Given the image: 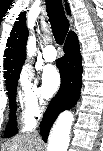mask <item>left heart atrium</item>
I'll list each match as a JSON object with an SVG mask.
<instances>
[{"label": "left heart atrium", "instance_id": "left-heart-atrium-1", "mask_svg": "<svg viewBox=\"0 0 103 151\" xmlns=\"http://www.w3.org/2000/svg\"><path fill=\"white\" fill-rule=\"evenodd\" d=\"M61 83L58 69L55 66H46L42 74V90L46 98L55 94Z\"/></svg>", "mask_w": 103, "mask_h": 151}]
</instances>
